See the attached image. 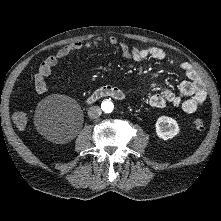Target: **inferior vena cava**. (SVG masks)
<instances>
[{
    "mask_svg": "<svg viewBox=\"0 0 221 221\" xmlns=\"http://www.w3.org/2000/svg\"><path fill=\"white\" fill-rule=\"evenodd\" d=\"M101 113H102V110L99 106H92L88 110V116L91 119L98 118L101 115Z\"/></svg>",
    "mask_w": 221,
    "mask_h": 221,
    "instance_id": "inferior-vena-cava-1",
    "label": "inferior vena cava"
}]
</instances>
